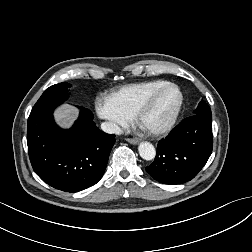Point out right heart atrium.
<instances>
[{
  "mask_svg": "<svg viewBox=\"0 0 252 252\" xmlns=\"http://www.w3.org/2000/svg\"><path fill=\"white\" fill-rule=\"evenodd\" d=\"M97 115L105 121L106 130L118 133L132 121V116L122 110L109 96L97 97L95 100Z\"/></svg>",
  "mask_w": 252,
  "mask_h": 252,
  "instance_id": "right-heart-atrium-1",
  "label": "right heart atrium"
}]
</instances>
